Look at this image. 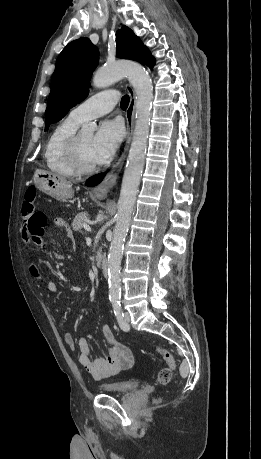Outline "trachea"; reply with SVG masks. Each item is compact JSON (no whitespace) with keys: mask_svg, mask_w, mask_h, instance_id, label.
Returning <instances> with one entry per match:
<instances>
[{"mask_svg":"<svg viewBox=\"0 0 261 459\" xmlns=\"http://www.w3.org/2000/svg\"><path fill=\"white\" fill-rule=\"evenodd\" d=\"M129 105V96L128 95H124L121 99V103H120V106L123 110H125Z\"/></svg>","mask_w":261,"mask_h":459,"instance_id":"3493384b","label":"trachea"}]
</instances>
